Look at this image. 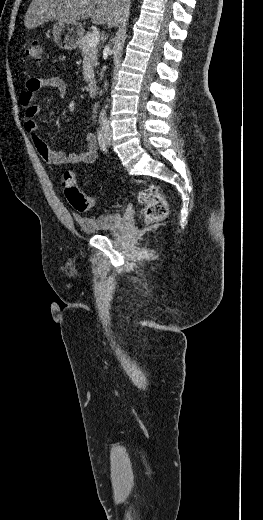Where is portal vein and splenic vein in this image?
Returning <instances> with one entry per match:
<instances>
[{"mask_svg": "<svg viewBox=\"0 0 263 520\" xmlns=\"http://www.w3.org/2000/svg\"><path fill=\"white\" fill-rule=\"evenodd\" d=\"M100 34L98 30H94L91 34V37L88 40V44L90 46H95L99 43Z\"/></svg>", "mask_w": 263, "mask_h": 520, "instance_id": "portal-vein-and-splenic-vein-1", "label": "portal vein and splenic vein"}]
</instances>
